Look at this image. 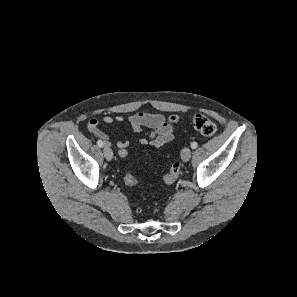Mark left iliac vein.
Masks as SVG:
<instances>
[{
	"mask_svg": "<svg viewBox=\"0 0 297 297\" xmlns=\"http://www.w3.org/2000/svg\"><path fill=\"white\" fill-rule=\"evenodd\" d=\"M190 157H191V150H190V148L185 147L182 150L181 158L184 162H187V161H189Z\"/></svg>",
	"mask_w": 297,
	"mask_h": 297,
	"instance_id": "4c4485c4",
	"label": "left iliac vein"
}]
</instances>
